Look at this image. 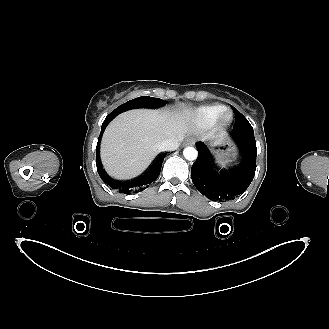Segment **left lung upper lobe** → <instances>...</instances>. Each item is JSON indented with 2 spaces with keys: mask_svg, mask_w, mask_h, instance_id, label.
Returning a JSON list of instances; mask_svg holds the SVG:
<instances>
[{
  "mask_svg": "<svg viewBox=\"0 0 329 329\" xmlns=\"http://www.w3.org/2000/svg\"><path fill=\"white\" fill-rule=\"evenodd\" d=\"M235 113V124H234V129L237 128H248V127H252L250 125V123L248 122V120L234 107H232Z\"/></svg>",
  "mask_w": 329,
  "mask_h": 329,
  "instance_id": "1",
  "label": "left lung upper lobe"
}]
</instances>
